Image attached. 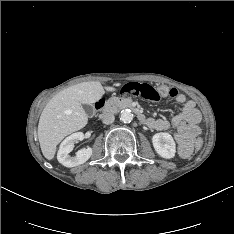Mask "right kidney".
<instances>
[{
    "label": "right kidney",
    "mask_w": 234,
    "mask_h": 234,
    "mask_svg": "<svg viewBox=\"0 0 234 234\" xmlns=\"http://www.w3.org/2000/svg\"><path fill=\"white\" fill-rule=\"evenodd\" d=\"M84 139V134L82 132H76L64 139L60 144L57 159L59 163L65 167H75L85 163L92 155V148H84L77 151L75 156H70V152L74 148V144L79 140Z\"/></svg>",
    "instance_id": "right-kidney-1"
}]
</instances>
